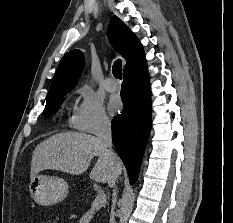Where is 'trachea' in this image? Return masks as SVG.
Instances as JSON below:
<instances>
[{
    "label": "trachea",
    "instance_id": "3493384b",
    "mask_svg": "<svg viewBox=\"0 0 233 223\" xmlns=\"http://www.w3.org/2000/svg\"><path fill=\"white\" fill-rule=\"evenodd\" d=\"M112 72L115 78L122 79V62L120 59L114 62Z\"/></svg>",
    "mask_w": 233,
    "mask_h": 223
}]
</instances>
